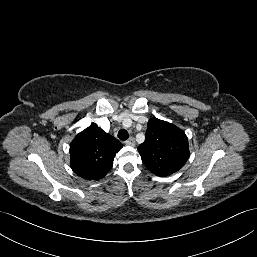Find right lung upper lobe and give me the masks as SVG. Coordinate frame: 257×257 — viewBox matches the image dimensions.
<instances>
[{
  "label": "right lung upper lobe",
  "instance_id": "obj_1",
  "mask_svg": "<svg viewBox=\"0 0 257 257\" xmlns=\"http://www.w3.org/2000/svg\"><path fill=\"white\" fill-rule=\"evenodd\" d=\"M122 144L92 123L80 132L70 144L72 170L87 180H100L112 168L115 154Z\"/></svg>",
  "mask_w": 257,
  "mask_h": 257
}]
</instances>
